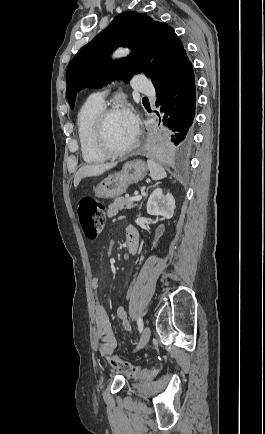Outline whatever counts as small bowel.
Returning a JSON list of instances; mask_svg holds the SVG:
<instances>
[{"instance_id": "c3829d8e", "label": "small bowel", "mask_w": 265, "mask_h": 434, "mask_svg": "<svg viewBox=\"0 0 265 434\" xmlns=\"http://www.w3.org/2000/svg\"><path fill=\"white\" fill-rule=\"evenodd\" d=\"M126 239L129 244L130 241L136 239L139 244V237L136 229L132 226L127 228ZM91 288L96 294H98L100 288V281L96 278L91 280ZM116 315L121 321L123 328L131 332V327L128 321L126 309L123 306H119L116 310ZM94 322H95V341L98 350L101 355H112L114 353L115 347L117 345L116 337L112 330V324L110 318L103 307V305L98 301L95 305L94 310Z\"/></svg>"}]
</instances>
